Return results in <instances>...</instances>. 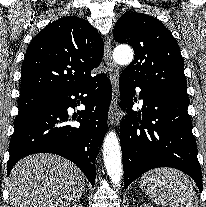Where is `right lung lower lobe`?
<instances>
[{
    "instance_id": "98d812e1",
    "label": "right lung lower lobe",
    "mask_w": 206,
    "mask_h": 207,
    "mask_svg": "<svg viewBox=\"0 0 206 207\" xmlns=\"http://www.w3.org/2000/svg\"><path fill=\"white\" fill-rule=\"evenodd\" d=\"M51 95V104L16 116L7 174L23 157L34 153H53L76 164L94 186L95 159L107 131L111 83L105 74H99ZM80 101L86 109L68 118L67 109L76 107ZM71 120H77L80 126L68 125Z\"/></svg>"
}]
</instances>
